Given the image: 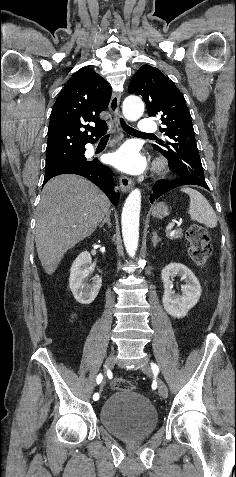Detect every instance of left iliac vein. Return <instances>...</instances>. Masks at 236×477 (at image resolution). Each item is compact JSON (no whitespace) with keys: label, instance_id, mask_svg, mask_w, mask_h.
I'll use <instances>...</instances> for the list:
<instances>
[{"label":"left iliac vein","instance_id":"obj_1","mask_svg":"<svg viewBox=\"0 0 236 477\" xmlns=\"http://www.w3.org/2000/svg\"><path fill=\"white\" fill-rule=\"evenodd\" d=\"M141 371L147 376H152L151 367L146 363L141 366ZM157 386L159 395L166 399L168 397V388L166 384L161 379H157Z\"/></svg>","mask_w":236,"mask_h":477}]
</instances>
